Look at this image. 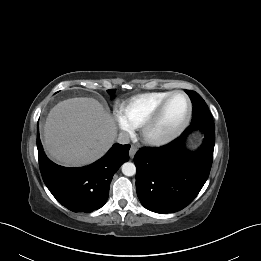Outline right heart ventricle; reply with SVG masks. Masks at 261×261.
Returning <instances> with one entry per match:
<instances>
[{"label": "right heart ventricle", "instance_id": "obj_1", "mask_svg": "<svg viewBox=\"0 0 261 261\" xmlns=\"http://www.w3.org/2000/svg\"><path fill=\"white\" fill-rule=\"evenodd\" d=\"M170 92H150L132 97L120 107L131 129L141 128Z\"/></svg>", "mask_w": 261, "mask_h": 261}]
</instances>
